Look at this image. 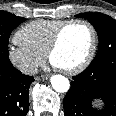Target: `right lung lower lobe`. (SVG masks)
Returning a JSON list of instances; mask_svg holds the SVG:
<instances>
[{"mask_svg": "<svg viewBox=\"0 0 116 116\" xmlns=\"http://www.w3.org/2000/svg\"><path fill=\"white\" fill-rule=\"evenodd\" d=\"M34 78L13 66L0 72V116H26L29 109V86Z\"/></svg>", "mask_w": 116, "mask_h": 116, "instance_id": "98d812e1", "label": "right lung lower lobe"}]
</instances>
